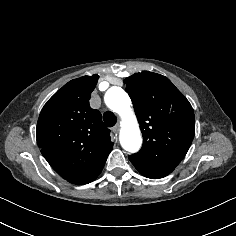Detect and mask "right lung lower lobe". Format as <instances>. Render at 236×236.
Here are the masks:
<instances>
[{
	"instance_id": "obj_1",
	"label": "right lung lower lobe",
	"mask_w": 236,
	"mask_h": 236,
	"mask_svg": "<svg viewBox=\"0 0 236 236\" xmlns=\"http://www.w3.org/2000/svg\"><path fill=\"white\" fill-rule=\"evenodd\" d=\"M102 169L97 174H94L92 176L82 178V179L70 180L69 182L74 183V184H80V185L90 183L97 178V176L101 173Z\"/></svg>"
}]
</instances>
